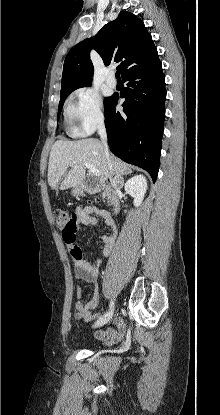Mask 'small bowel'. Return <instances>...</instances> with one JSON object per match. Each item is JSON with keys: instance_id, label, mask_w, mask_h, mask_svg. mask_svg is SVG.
Segmentation results:
<instances>
[{"instance_id": "1", "label": "small bowel", "mask_w": 220, "mask_h": 415, "mask_svg": "<svg viewBox=\"0 0 220 415\" xmlns=\"http://www.w3.org/2000/svg\"><path fill=\"white\" fill-rule=\"evenodd\" d=\"M99 220H103L107 228L108 234L101 236V242L103 244L101 256L95 263H92L85 259V252L83 248L77 245L76 232L81 225L87 227H94ZM74 238L70 240L65 232L61 231V236L64 243L70 248L71 256L75 266L76 278L87 282L91 285V295L88 302L83 303L78 300L75 304V317L77 319H83L87 322L92 321L95 318L93 314L94 310L99 304V290L97 286V279L99 275V266L102 261L111 253V250L115 244L117 237V227L115 221L111 217L110 213L106 210L99 209L93 206L78 207L74 214ZM75 295L80 299L83 295V289L77 287ZM114 327L102 331H96L95 337L104 341L106 344H114L122 340L125 335V326L121 318L114 320Z\"/></svg>"}]
</instances>
